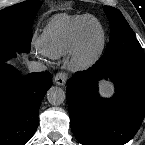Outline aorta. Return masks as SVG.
<instances>
[{"label": "aorta", "instance_id": "aorta-1", "mask_svg": "<svg viewBox=\"0 0 145 145\" xmlns=\"http://www.w3.org/2000/svg\"><path fill=\"white\" fill-rule=\"evenodd\" d=\"M66 98L65 91L60 87H51L47 92V100L52 105H60Z\"/></svg>", "mask_w": 145, "mask_h": 145}]
</instances>
